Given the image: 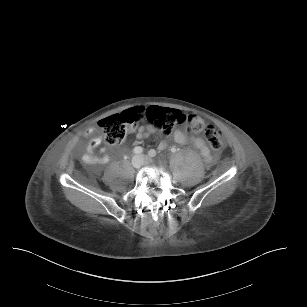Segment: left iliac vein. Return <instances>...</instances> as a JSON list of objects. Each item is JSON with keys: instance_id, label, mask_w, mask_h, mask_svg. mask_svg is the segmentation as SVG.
<instances>
[{"instance_id": "left-iliac-vein-1", "label": "left iliac vein", "mask_w": 307, "mask_h": 307, "mask_svg": "<svg viewBox=\"0 0 307 307\" xmlns=\"http://www.w3.org/2000/svg\"><path fill=\"white\" fill-rule=\"evenodd\" d=\"M139 157L142 159V164H149L152 162V160L145 155H140Z\"/></svg>"}]
</instances>
